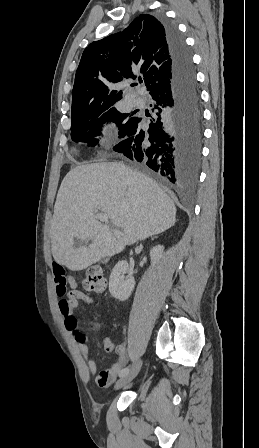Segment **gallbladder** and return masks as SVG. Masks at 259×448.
Here are the masks:
<instances>
[{
    "instance_id": "1",
    "label": "gallbladder",
    "mask_w": 259,
    "mask_h": 448,
    "mask_svg": "<svg viewBox=\"0 0 259 448\" xmlns=\"http://www.w3.org/2000/svg\"><path fill=\"white\" fill-rule=\"evenodd\" d=\"M90 242H92V240H76V238H74V250H77V248H83V246H88V244H90Z\"/></svg>"
}]
</instances>
